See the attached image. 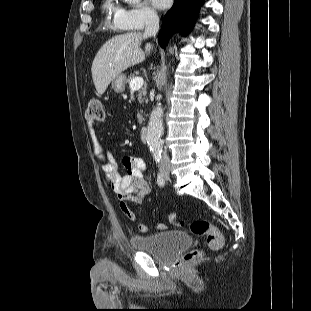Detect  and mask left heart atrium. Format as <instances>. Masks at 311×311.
<instances>
[{"instance_id":"obj_1","label":"left heart atrium","mask_w":311,"mask_h":311,"mask_svg":"<svg viewBox=\"0 0 311 311\" xmlns=\"http://www.w3.org/2000/svg\"><path fill=\"white\" fill-rule=\"evenodd\" d=\"M152 2V4L159 8V9H163L169 6L171 0H150Z\"/></svg>"}]
</instances>
